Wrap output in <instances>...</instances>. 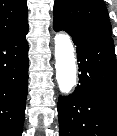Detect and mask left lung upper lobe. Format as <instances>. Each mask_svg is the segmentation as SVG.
<instances>
[{"label": "left lung upper lobe", "instance_id": "left-lung-upper-lobe-1", "mask_svg": "<svg viewBox=\"0 0 117 136\" xmlns=\"http://www.w3.org/2000/svg\"><path fill=\"white\" fill-rule=\"evenodd\" d=\"M54 18L75 28L111 36L112 27L102 0H55Z\"/></svg>", "mask_w": 117, "mask_h": 136}]
</instances>
